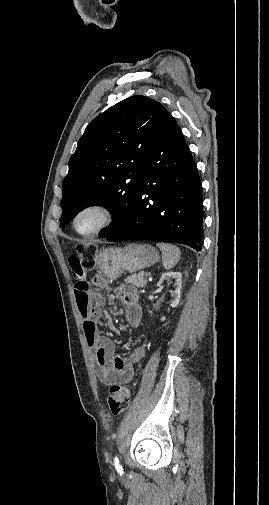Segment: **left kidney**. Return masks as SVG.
Wrapping results in <instances>:
<instances>
[{"label":"left kidney","mask_w":269,"mask_h":505,"mask_svg":"<svg viewBox=\"0 0 269 505\" xmlns=\"http://www.w3.org/2000/svg\"><path fill=\"white\" fill-rule=\"evenodd\" d=\"M170 278H172L176 281V283H175L176 288L172 294L173 298L171 301V307L175 308L176 306H178L180 298H181L182 274L180 272H172V271L164 273L161 276L159 282L157 283V286H160L165 280H169ZM165 319H166L165 317H162L161 321H164Z\"/></svg>","instance_id":"5707ae66"}]
</instances>
